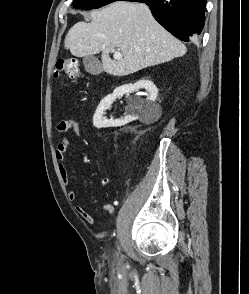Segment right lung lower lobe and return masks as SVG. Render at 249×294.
Masks as SVG:
<instances>
[{"instance_id":"1","label":"right lung lower lobe","mask_w":249,"mask_h":294,"mask_svg":"<svg viewBox=\"0 0 249 294\" xmlns=\"http://www.w3.org/2000/svg\"><path fill=\"white\" fill-rule=\"evenodd\" d=\"M119 1V0H117ZM146 3L154 18L182 41L199 39L205 23L206 0H121Z\"/></svg>"}]
</instances>
